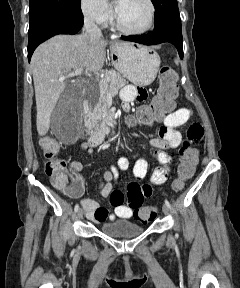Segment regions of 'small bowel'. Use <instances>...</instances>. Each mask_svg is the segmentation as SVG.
Here are the masks:
<instances>
[{
	"instance_id": "small-bowel-1",
	"label": "small bowel",
	"mask_w": 240,
	"mask_h": 288,
	"mask_svg": "<svg viewBox=\"0 0 240 288\" xmlns=\"http://www.w3.org/2000/svg\"><path fill=\"white\" fill-rule=\"evenodd\" d=\"M147 91L143 87L126 86L121 91V99L125 110H129V106L133 101H144L147 99ZM192 116V110L189 108H179L163 119V125L159 130L157 138L149 141L154 149V156L160 163L156 167L151 176V183L154 185H161L166 182L171 172L170 158L166 153L167 149L177 148L182 142V134L179 128L187 124ZM204 134L203 127L200 123H192L187 130V141L191 144L198 143ZM79 150L91 154L93 152L90 144L84 142L79 145ZM130 166L129 160L126 157H120L116 166L111 170L104 172L100 178L99 189L103 197H109L111 205L114 207V214L110 215L108 208L102 207L95 200L83 199L81 205L85 209L86 216L93 222L100 224L107 219L121 218L128 219L133 216V208L124 203V193L121 190L113 189V181L117 176L118 171H126ZM83 165L78 161L70 163V173L77 179L81 185L82 190L77 194L69 195L72 198H77L83 193V177L80 175ZM148 171V162L144 157L139 158L133 166V177L135 181L128 186V192L138 191L142 199L148 198L152 195V187L149 184L139 185L138 181L142 180Z\"/></svg>"
}]
</instances>
